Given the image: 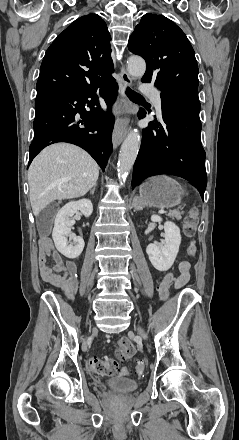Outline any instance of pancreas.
<instances>
[{"mask_svg":"<svg viewBox=\"0 0 239 440\" xmlns=\"http://www.w3.org/2000/svg\"><path fill=\"white\" fill-rule=\"evenodd\" d=\"M182 214L183 212H179V210H170L167 216H169V218H176V220H181Z\"/></svg>","mask_w":239,"mask_h":440,"instance_id":"pancreas-1","label":"pancreas"}]
</instances>
